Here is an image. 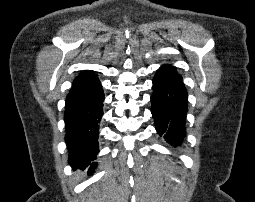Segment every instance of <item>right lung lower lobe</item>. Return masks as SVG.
Returning <instances> with one entry per match:
<instances>
[{
  "instance_id": "right-lung-lower-lobe-1",
  "label": "right lung lower lobe",
  "mask_w": 255,
  "mask_h": 202,
  "mask_svg": "<svg viewBox=\"0 0 255 202\" xmlns=\"http://www.w3.org/2000/svg\"><path fill=\"white\" fill-rule=\"evenodd\" d=\"M104 93L98 78L73 85L66 98L65 128L68 161L75 168L94 171Z\"/></svg>"
}]
</instances>
